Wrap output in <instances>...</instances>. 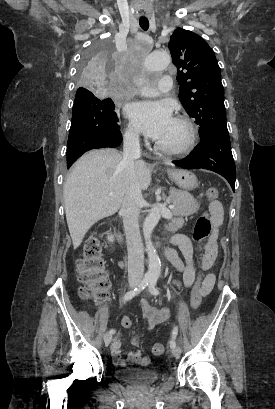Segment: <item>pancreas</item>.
Segmentation results:
<instances>
[{"instance_id": "obj_1", "label": "pancreas", "mask_w": 275, "mask_h": 409, "mask_svg": "<svg viewBox=\"0 0 275 409\" xmlns=\"http://www.w3.org/2000/svg\"><path fill=\"white\" fill-rule=\"evenodd\" d=\"M170 196L171 202H173L174 209H171L174 215H178V217H188V215H193L199 209V205L197 200H195L194 196L187 192V190H177V188H173L170 186ZM202 196V194H200Z\"/></svg>"}]
</instances>
